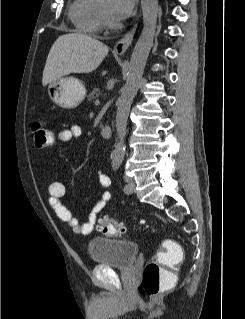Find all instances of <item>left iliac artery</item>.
<instances>
[{"instance_id": "obj_1", "label": "left iliac artery", "mask_w": 245, "mask_h": 319, "mask_svg": "<svg viewBox=\"0 0 245 319\" xmlns=\"http://www.w3.org/2000/svg\"><path fill=\"white\" fill-rule=\"evenodd\" d=\"M121 159H119V158H115L114 160H113V162H112V168H113V170L114 171H116V170H118L119 169V167H120V165H121ZM128 190V186L127 185H125L124 186V191H127Z\"/></svg>"}]
</instances>
